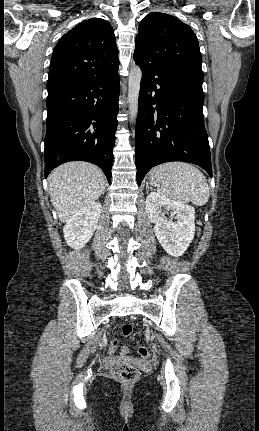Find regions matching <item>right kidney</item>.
Wrapping results in <instances>:
<instances>
[{
	"label": "right kidney",
	"instance_id": "obj_1",
	"mask_svg": "<svg viewBox=\"0 0 259 431\" xmlns=\"http://www.w3.org/2000/svg\"><path fill=\"white\" fill-rule=\"evenodd\" d=\"M101 211L100 202H93L77 211L63 228L66 243L75 249L83 248L97 227Z\"/></svg>",
	"mask_w": 259,
	"mask_h": 431
}]
</instances>
